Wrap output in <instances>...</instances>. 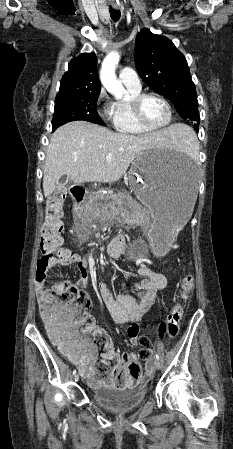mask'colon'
Segmentation results:
<instances>
[{"label":"colon","instance_id":"5ec220e1","mask_svg":"<svg viewBox=\"0 0 233 449\" xmlns=\"http://www.w3.org/2000/svg\"><path fill=\"white\" fill-rule=\"evenodd\" d=\"M65 194L55 193L48 197L46 218L42 229L41 252L38 261L37 279L47 271L50 262L57 256H67V251L60 248L62 243V212ZM194 287L192 274L183 277L181 283L182 299L169 312L166 322L160 324L158 336L175 338L180 331L183 316V302H185ZM91 306L89 297L73 285L55 287L44 292L40 301L42 318L47 324L51 341L56 346L66 347L68 342L75 341L83 348H96L103 344L107 337L94 326L92 317L88 314ZM140 350L138 358H147L151 354V343L148 337L138 338ZM101 366V365H100ZM121 374H140L141 367L136 356H127L119 364ZM115 386L123 388L125 383L120 377L115 379Z\"/></svg>","mask_w":233,"mask_h":449}]
</instances>
